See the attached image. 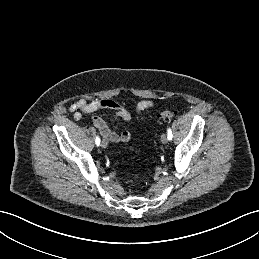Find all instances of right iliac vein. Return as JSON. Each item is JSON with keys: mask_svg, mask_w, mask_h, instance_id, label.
<instances>
[{"mask_svg": "<svg viewBox=\"0 0 259 259\" xmlns=\"http://www.w3.org/2000/svg\"><path fill=\"white\" fill-rule=\"evenodd\" d=\"M107 146H108L107 140L103 139V140L101 141V147H102V148H106Z\"/></svg>", "mask_w": 259, "mask_h": 259, "instance_id": "63e3f726", "label": "right iliac vein"}]
</instances>
